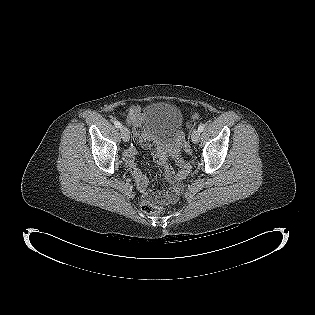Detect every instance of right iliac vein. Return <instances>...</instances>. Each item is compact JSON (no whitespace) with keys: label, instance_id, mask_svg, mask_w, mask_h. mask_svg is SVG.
<instances>
[{"label":"right iliac vein","instance_id":"obj_1","mask_svg":"<svg viewBox=\"0 0 315 315\" xmlns=\"http://www.w3.org/2000/svg\"><path fill=\"white\" fill-rule=\"evenodd\" d=\"M120 132H121V137L123 139L124 142H128L130 139V132L126 127H121L120 128Z\"/></svg>","mask_w":315,"mask_h":315}]
</instances>
